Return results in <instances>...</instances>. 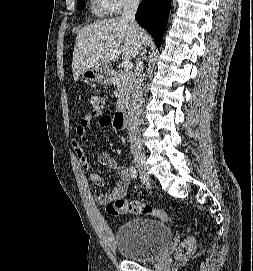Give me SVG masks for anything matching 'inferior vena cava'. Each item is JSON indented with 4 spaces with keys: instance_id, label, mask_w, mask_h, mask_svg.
I'll return each instance as SVG.
<instances>
[{
    "instance_id": "inferior-vena-cava-1",
    "label": "inferior vena cava",
    "mask_w": 253,
    "mask_h": 271,
    "mask_svg": "<svg viewBox=\"0 0 253 271\" xmlns=\"http://www.w3.org/2000/svg\"><path fill=\"white\" fill-rule=\"evenodd\" d=\"M140 0H126L124 4L121 19L130 22L136 29L139 38H142V29L137 25L135 21V14L138 9ZM144 51H140V55L137 59L135 80L132 87L131 100L128 105V135L131 145V151L133 153L142 151V144L140 139V125H141V108H142V95H141V84H142V72H143V58Z\"/></svg>"
}]
</instances>
